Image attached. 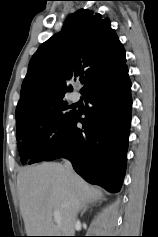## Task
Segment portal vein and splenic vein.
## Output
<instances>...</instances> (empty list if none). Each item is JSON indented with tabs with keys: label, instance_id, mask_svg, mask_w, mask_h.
<instances>
[{
	"label": "portal vein and splenic vein",
	"instance_id": "18ae733b",
	"mask_svg": "<svg viewBox=\"0 0 158 237\" xmlns=\"http://www.w3.org/2000/svg\"><path fill=\"white\" fill-rule=\"evenodd\" d=\"M53 216L55 222H59L61 220L60 213L57 210H54Z\"/></svg>",
	"mask_w": 158,
	"mask_h": 237
}]
</instances>
